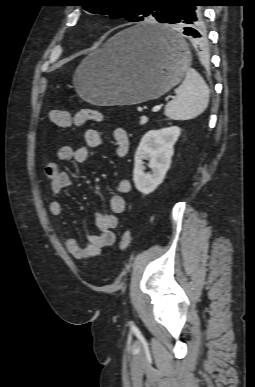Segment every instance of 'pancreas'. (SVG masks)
Segmentation results:
<instances>
[{"instance_id":"cf45deb5","label":"pancreas","mask_w":255,"mask_h":387,"mask_svg":"<svg viewBox=\"0 0 255 387\" xmlns=\"http://www.w3.org/2000/svg\"><path fill=\"white\" fill-rule=\"evenodd\" d=\"M147 121H148L147 118H141L140 125L147 123Z\"/></svg>"}]
</instances>
